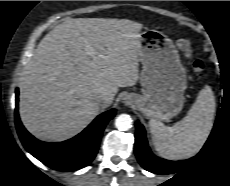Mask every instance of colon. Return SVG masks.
Returning <instances> with one entry per match:
<instances>
[{
	"label": "colon",
	"instance_id": "colon-1",
	"mask_svg": "<svg viewBox=\"0 0 230 186\" xmlns=\"http://www.w3.org/2000/svg\"><path fill=\"white\" fill-rule=\"evenodd\" d=\"M178 48L184 53V55L191 60V65L198 77L202 76L205 71V63L200 59L193 58V51L189 40L180 38L177 41Z\"/></svg>",
	"mask_w": 230,
	"mask_h": 186
}]
</instances>
